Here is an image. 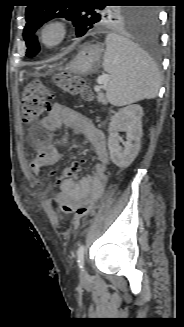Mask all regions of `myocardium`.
<instances>
[{"label":"myocardium","instance_id":"f54148a6","mask_svg":"<svg viewBox=\"0 0 184 327\" xmlns=\"http://www.w3.org/2000/svg\"><path fill=\"white\" fill-rule=\"evenodd\" d=\"M50 30L56 32L53 40L47 39V33ZM68 35V26L63 19H49L43 22L38 29V40L40 44L46 48H54L61 45Z\"/></svg>","mask_w":184,"mask_h":327}]
</instances>
